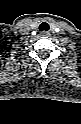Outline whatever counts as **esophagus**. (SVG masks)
Listing matches in <instances>:
<instances>
[{"instance_id":"obj_1","label":"esophagus","mask_w":81,"mask_h":124,"mask_svg":"<svg viewBox=\"0 0 81 124\" xmlns=\"http://www.w3.org/2000/svg\"><path fill=\"white\" fill-rule=\"evenodd\" d=\"M42 35L43 36H46V35H48V33L47 32H43Z\"/></svg>"}]
</instances>
